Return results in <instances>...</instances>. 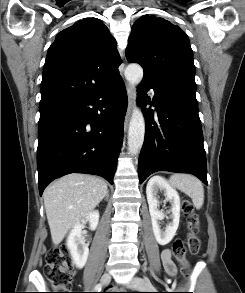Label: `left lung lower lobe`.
Instances as JSON below:
<instances>
[{
    "mask_svg": "<svg viewBox=\"0 0 245 293\" xmlns=\"http://www.w3.org/2000/svg\"><path fill=\"white\" fill-rule=\"evenodd\" d=\"M150 88L155 92L153 106L156 107L158 124L154 121V111H146V90ZM139 91L147 121L138 163L140 183L154 172L170 171L193 174L207 185L206 156L197 103L160 92L153 84L143 81Z\"/></svg>",
    "mask_w": 245,
    "mask_h": 293,
    "instance_id": "1",
    "label": "left lung lower lobe"
}]
</instances>
